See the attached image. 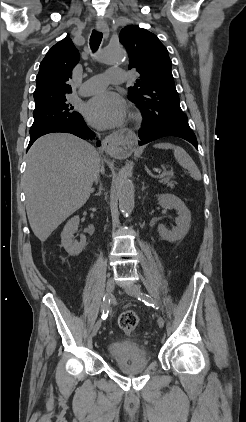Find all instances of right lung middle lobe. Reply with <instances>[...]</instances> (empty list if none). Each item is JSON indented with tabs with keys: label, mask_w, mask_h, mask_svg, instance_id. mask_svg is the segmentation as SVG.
Returning <instances> with one entry per match:
<instances>
[{
	"label": "right lung middle lobe",
	"mask_w": 246,
	"mask_h": 422,
	"mask_svg": "<svg viewBox=\"0 0 246 422\" xmlns=\"http://www.w3.org/2000/svg\"><path fill=\"white\" fill-rule=\"evenodd\" d=\"M34 122L30 128V134L56 124H70L82 118L67 103L66 98L56 100L48 105L36 108L33 112Z\"/></svg>",
	"instance_id": "dd1d6c3e"
}]
</instances>
